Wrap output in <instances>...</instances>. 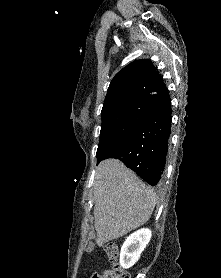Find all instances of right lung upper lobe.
<instances>
[{
  "mask_svg": "<svg viewBox=\"0 0 221 278\" xmlns=\"http://www.w3.org/2000/svg\"><path fill=\"white\" fill-rule=\"evenodd\" d=\"M165 91L167 88L150 61H134L111 81L101 114L134 102L146 103Z\"/></svg>",
  "mask_w": 221,
  "mask_h": 278,
  "instance_id": "right-lung-upper-lobe-1",
  "label": "right lung upper lobe"
}]
</instances>
